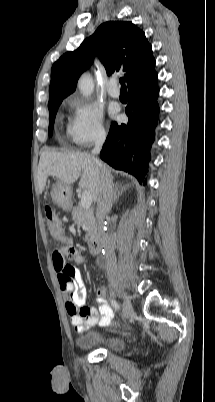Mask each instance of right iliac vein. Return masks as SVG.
<instances>
[{
	"instance_id": "63e3f726",
	"label": "right iliac vein",
	"mask_w": 215,
	"mask_h": 402,
	"mask_svg": "<svg viewBox=\"0 0 215 402\" xmlns=\"http://www.w3.org/2000/svg\"><path fill=\"white\" fill-rule=\"evenodd\" d=\"M115 290L121 295L123 299V318H128L133 311L130 298L125 293L121 292L117 286H114Z\"/></svg>"
}]
</instances>
